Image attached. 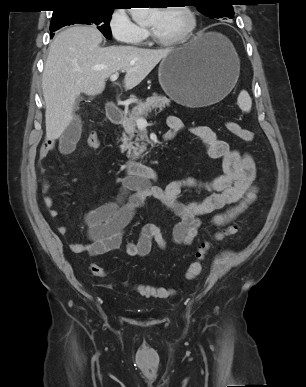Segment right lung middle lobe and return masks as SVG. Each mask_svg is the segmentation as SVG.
I'll use <instances>...</instances> for the list:
<instances>
[{
	"label": "right lung middle lobe",
	"mask_w": 306,
	"mask_h": 387,
	"mask_svg": "<svg viewBox=\"0 0 306 387\" xmlns=\"http://www.w3.org/2000/svg\"><path fill=\"white\" fill-rule=\"evenodd\" d=\"M114 8L111 7H72L53 14L50 31L54 32L61 27L71 24H88L97 26L102 34L111 39L109 22ZM53 36L54 34L51 33Z\"/></svg>",
	"instance_id": "right-lung-middle-lobe-1"
}]
</instances>
